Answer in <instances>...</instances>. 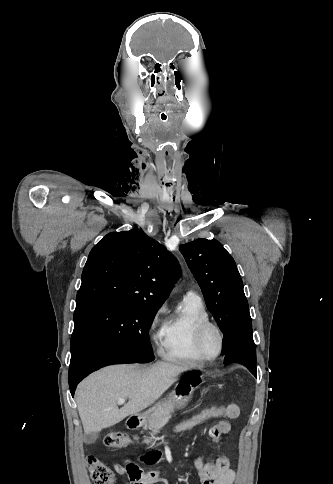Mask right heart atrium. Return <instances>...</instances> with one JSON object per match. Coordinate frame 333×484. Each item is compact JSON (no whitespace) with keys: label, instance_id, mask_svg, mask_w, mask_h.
<instances>
[{"label":"right heart atrium","instance_id":"d8ad5b80","mask_svg":"<svg viewBox=\"0 0 333 484\" xmlns=\"http://www.w3.org/2000/svg\"><path fill=\"white\" fill-rule=\"evenodd\" d=\"M164 311V307H160L154 314L153 316L151 317L150 319V322H149V331L152 335V338L155 339V335H154V330L160 320V316L162 314V312Z\"/></svg>","mask_w":333,"mask_h":484}]
</instances>
